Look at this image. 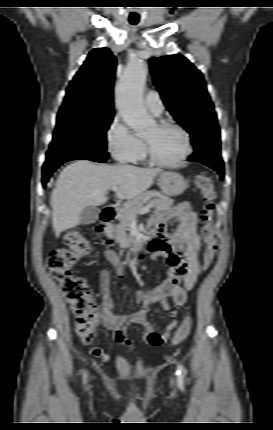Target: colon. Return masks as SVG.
<instances>
[{
  "mask_svg": "<svg viewBox=\"0 0 273 430\" xmlns=\"http://www.w3.org/2000/svg\"><path fill=\"white\" fill-rule=\"evenodd\" d=\"M197 189L201 192L204 205L202 208V219L204 226L202 235L206 244L201 272L207 270L217 253L218 244L213 227L212 219L215 209V191L211 179L206 175H197L194 178ZM64 247L51 250L47 259V266L52 277L61 287L67 302L70 304L74 314V327L77 335L85 344L92 343L95 330L98 325V307L91 294L87 281L75 275L72 271L73 265L83 256L90 252L89 242L80 233L67 232L63 237ZM192 326V319L186 316L182 327L175 331L172 345L180 344L188 335ZM153 384H149L151 390Z\"/></svg>",
  "mask_w": 273,
  "mask_h": 430,
  "instance_id": "5ec220e1",
  "label": "colon"
}]
</instances>
